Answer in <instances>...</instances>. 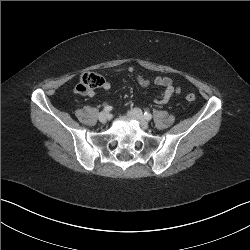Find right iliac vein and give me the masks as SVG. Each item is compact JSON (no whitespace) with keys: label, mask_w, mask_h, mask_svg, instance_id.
<instances>
[{"label":"right iliac vein","mask_w":250,"mask_h":250,"mask_svg":"<svg viewBox=\"0 0 250 250\" xmlns=\"http://www.w3.org/2000/svg\"><path fill=\"white\" fill-rule=\"evenodd\" d=\"M100 122L106 123L109 119V113L108 112H101L98 116Z\"/></svg>","instance_id":"63e3f726"}]
</instances>
